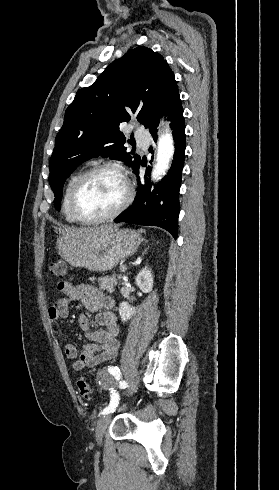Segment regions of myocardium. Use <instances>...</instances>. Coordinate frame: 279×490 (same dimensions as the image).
Segmentation results:
<instances>
[{"label": "myocardium", "mask_w": 279, "mask_h": 490, "mask_svg": "<svg viewBox=\"0 0 279 490\" xmlns=\"http://www.w3.org/2000/svg\"><path fill=\"white\" fill-rule=\"evenodd\" d=\"M101 172H112V173L117 174L121 178L123 185H124V188H125L124 199L120 202V204L116 207L115 210H113L112 212H110L108 214H105L103 216L96 217V218H91V219L83 218L79 214V210H78L79 196H80L85 184L87 183V181L92 176H94L98 173H101ZM133 195H134L133 188L131 186V183H130V180L128 177V173L124 167H122L118 164H114V163L98 164V165H95V166L89 168L88 170L84 171L79 176L78 180L76 181L74 188H73V191H72V196H71V211H72L75 219L81 224H97V223L110 221V220L120 216L126 210V208L129 206V204L131 203V201L133 199Z\"/></svg>", "instance_id": "obj_1"}]
</instances>
